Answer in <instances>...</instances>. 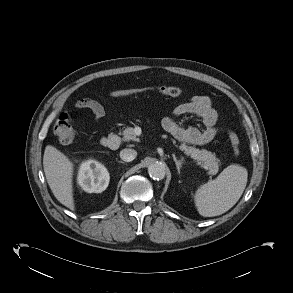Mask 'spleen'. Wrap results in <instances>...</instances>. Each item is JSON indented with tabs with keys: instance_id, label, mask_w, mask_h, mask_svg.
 I'll return each instance as SVG.
<instances>
[{
	"instance_id": "obj_1",
	"label": "spleen",
	"mask_w": 293,
	"mask_h": 293,
	"mask_svg": "<svg viewBox=\"0 0 293 293\" xmlns=\"http://www.w3.org/2000/svg\"><path fill=\"white\" fill-rule=\"evenodd\" d=\"M248 172L240 165L227 166L215 179L196 190L194 200L200 215L213 217L231 209L242 196Z\"/></svg>"
}]
</instances>
